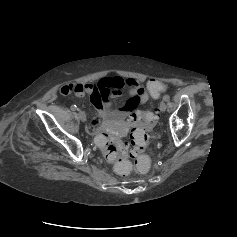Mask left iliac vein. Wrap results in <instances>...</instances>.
Returning <instances> with one entry per match:
<instances>
[{"label":"left iliac vein","instance_id":"4c4485c4","mask_svg":"<svg viewBox=\"0 0 237 237\" xmlns=\"http://www.w3.org/2000/svg\"><path fill=\"white\" fill-rule=\"evenodd\" d=\"M166 108H167V104L164 101H162L160 103V111L164 112L166 110Z\"/></svg>","mask_w":237,"mask_h":237}]
</instances>
